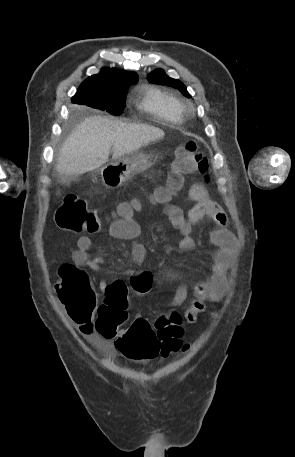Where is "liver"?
Here are the masks:
<instances>
[{"label": "liver", "mask_w": 295, "mask_h": 457, "mask_svg": "<svg viewBox=\"0 0 295 457\" xmlns=\"http://www.w3.org/2000/svg\"><path fill=\"white\" fill-rule=\"evenodd\" d=\"M163 130L144 124H127L103 116L86 118L63 143L56 170L64 175L93 171L112 159L116 160L150 142L164 137Z\"/></svg>", "instance_id": "liver-1"}]
</instances>
